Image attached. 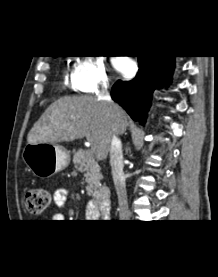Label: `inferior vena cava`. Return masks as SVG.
<instances>
[{"mask_svg":"<svg viewBox=\"0 0 218 277\" xmlns=\"http://www.w3.org/2000/svg\"><path fill=\"white\" fill-rule=\"evenodd\" d=\"M97 98L99 101L108 103L114 112L118 111V106L111 100V96L108 91V84L106 82L102 83ZM110 165L116 193L118 196L119 217L121 220H127L129 219V211L125 176L123 172L122 144L120 139L115 135L112 137L110 146Z\"/></svg>","mask_w":218,"mask_h":277,"instance_id":"602c4592","label":"inferior vena cava"}]
</instances>
